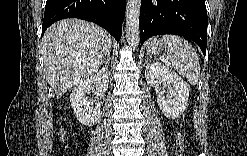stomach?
<instances>
[{"mask_svg": "<svg viewBox=\"0 0 247 156\" xmlns=\"http://www.w3.org/2000/svg\"><path fill=\"white\" fill-rule=\"evenodd\" d=\"M167 47L166 42L163 39L152 38L147 44V52L152 55H158L161 51Z\"/></svg>", "mask_w": 247, "mask_h": 156, "instance_id": "0dacf381", "label": "stomach"}]
</instances>
